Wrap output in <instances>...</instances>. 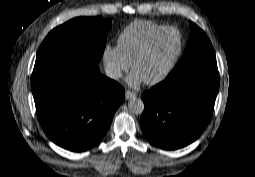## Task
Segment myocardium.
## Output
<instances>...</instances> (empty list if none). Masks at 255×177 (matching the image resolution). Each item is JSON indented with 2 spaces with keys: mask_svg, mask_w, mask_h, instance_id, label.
<instances>
[{
  "mask_svg": "<svg viewBox=\"0 0 255 177\" xmlns=\"http://www.w3.org/2000/svg\"><path fill=\"white\" fill-rule=\"evenodd\" d=\"M169 31H175L178 34V37H179L178 51L172 57V59L169 61L167 66L164 68V70L157 77H155L151 80H145L144 81L148 85H156V84L162 82L163 80H165L168 77V75L170 74V72L172 71V69L174 68L177 61L179 60V58H180V56L183 52V48H184V40H183V36H182L180 30H178L176 27L168 26V27H165V28L153 33L149 37V39L146 41V43L142 46V48L139 50V52L136 54L133 61L131 62V69L134 70V67H135L136 63L147 55V53L149 52V50L152 47L153 43L162 34H164L166 32H169Z\"/></svg>",
  "mask_w": 255,
  "mask_h": 177,
  "instance_id": "myocardium-1",
  "label": "myocardium"
}]
</instances>
